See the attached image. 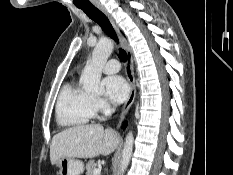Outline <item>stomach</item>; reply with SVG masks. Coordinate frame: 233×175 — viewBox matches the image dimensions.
Returning a JSON list of instances; mask_svg holds the SVG:
<instances>
[{
  "mask_svg": "<svg viewBox=\"0 0 233 175\" xmlns=\"http://www.w3.org/2000/svg\"><path fill=\"white\" fill-rule=\"evenodd\" d=\"M55 165L59 175H81L84 170L83 162L72 158H60Z\"/></svg>",
  "mask_w": 233,
  "mask_h": 175,
  "instance_id": "0dacf381",
  "label": "stomach"
}]
</instances>
